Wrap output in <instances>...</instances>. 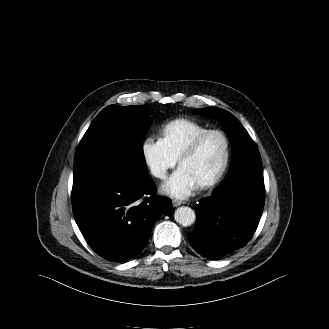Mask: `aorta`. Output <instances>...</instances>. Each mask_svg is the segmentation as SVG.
Masks as SVG:
<instances>
[{
	"label": "aorta",
	"mask_w": 329,
	"mask_h": 329,
	"mask_svg": "<svg viewBox=\"0 0 329 329\" xmlns=\"http://www.w3.org/2000/svg\"><path fill=\"white\" fill-rule=\"evenodd\" d=\"M174 218L180 225L188 227L195 222L196 215L190 207L182 206L175 210Z\"/></svg>",
	"instance_id": "762f6f07"
}]
</instances>
